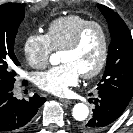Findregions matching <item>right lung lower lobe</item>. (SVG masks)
Segmentation results:
<instances>
[{"label":"right lung lower lobe","instance_id":"right-lung-lower-lobe-1","mask_svg":"<svg viewBox=\"0 0 133 133\" xmlns=\"http://www.w3.org/2000/svg\"><path fill=\"white\" fill-rule=\"evenodd\" d=\"M45 101L37 94L28 100H19L14 97L12 89L0 92V131L24 129Z\"/></svg>","mask_w":133,"mask_h":133}]
</instances>
